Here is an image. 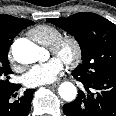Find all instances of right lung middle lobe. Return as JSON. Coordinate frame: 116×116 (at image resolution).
<instances>
[{
  "mask_svg": "<svg viewBox=\"0 0 116 116\" xmlns=\"http://www.w3.org/2000/svg\"><path fill=\"white\" fill-rule=\"evenodd\" d=\"M33 21H28L26 26L32 25ZM12 40H0V93L7 92L15 84L9 82V74L12 73L8 61V48Z\"/></svg>",
  "mask_w": 116,
  "mask_h": 116,
  "instance_id": "1",
  "label": "right lung middle lobe"
}]
</instances>
